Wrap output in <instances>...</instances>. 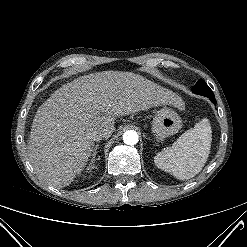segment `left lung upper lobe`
<instances>
[{
  "mask_svg": "<svg viewBox=\"0 0 247 247\" xmlns=\"http://www.w3.org/2000/svg\"><path fill=\"white\" fill-rule=\"evenodd\" d=\"M192 91L195 94L202 95L205 97H213L214 94L209 86L205 83L204 80L200 79L197 84L192 88Z\"/></svg>",
  "mask_w": 247,
  "mask_h": 247,
  "instance_id": "obj_1",
  "label": "left lung upper lobe"
}]
</instances>
